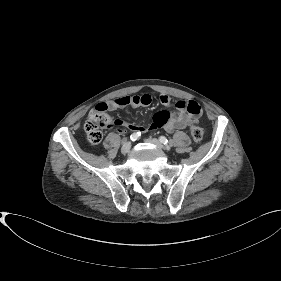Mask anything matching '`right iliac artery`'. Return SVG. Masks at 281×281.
Wrapping results in <instances>:
<instances>
[{"instance_id": "right-iliac-artery-1", "label": "right iliac artery", "mask_w": 281, "mask_h": 281, "mask_svg": "<svg viewBox=\"0 0 281 281\" xmlns=\"http://www.w3.org/2000/svg\"><path fill=\"white\" fill-rule=\"evenodd\" d=\"M140 135H141L140 133H133L131 134L130 139L132 141H136L140 137Z\"/></svg>"}]
</instances>
